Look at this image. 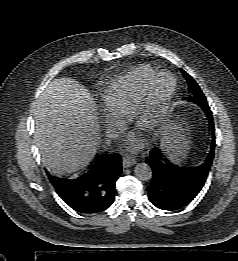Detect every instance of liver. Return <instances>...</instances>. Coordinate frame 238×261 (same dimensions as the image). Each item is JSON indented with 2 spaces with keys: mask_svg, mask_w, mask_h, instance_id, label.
Instances as JSON below:
<instances>
[{
  "mask_svg": "<svg viewBox=\"0 0 238 261\" xmlns=\"http://www.w3.org/2000/svg\"><path fill=\"white\" fill-rule=\"evenodd\" d=\"M34 115L36 145L50 172L74 173L89 165L101 132L87 89L71 78L54 79L41 94Z\"/></svg>",
  "mask_w": 238,
  "mask_h": 261,
  "instance_id": "liver-1",
  "label": "liver"
}]
</instances>
